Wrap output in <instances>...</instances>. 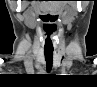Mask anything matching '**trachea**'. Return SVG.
Masks as SVG:
<instances>
[{"mask_svg": "<svg viewBox=\"0 0 97 87\" xmlns=\"http://www.w3.org/2000/svg\"><path fill=\"white\" fill-rule=\"evenodd\" d=\"M44 55H45V60H46V64H47V70L50 71L52 68L53 50L45 49Z\"/></svg>", "mask_w": 97, "mask_h": 87, "instance_id": "trachea-1", "label": "trachea"}]
</instances>
